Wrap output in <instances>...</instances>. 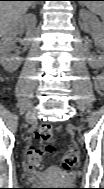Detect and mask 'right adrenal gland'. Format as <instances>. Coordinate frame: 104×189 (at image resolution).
<instances>
[{
  "label": "right adrenal gland",
  "instance_id": "obj_1",
  "mask_svg": "<svg viewBox=\"0 0 104 189\" xmlns=\"http://www.w3.org/2000/svg\"><path fill=\"white\" fill-rule=\"evenodd\" d=\"M35 7H36V3H34V4L31 6L32 9H35Z\"/></svg>",
  "mask_w": 104,
  "mask_h": 189
}]
</instances>
